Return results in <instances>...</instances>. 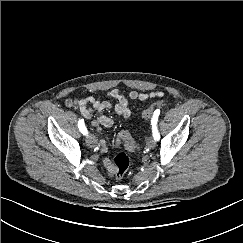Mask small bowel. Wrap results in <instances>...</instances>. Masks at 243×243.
<instances>
[{
	"label": "small bowel",
	"instance_id": "1",
	"mask_svg": "<svg viewBox=\"0 0 243 243\" xmlns=\"http://www.w3.org/2000/svg\"><path fill=\"white\" fill-rule=\"evenodd\" d=\"M107 95L117 101L115 105L106 100H99L92 96L80 99L77 102V106L86 119H92V126H94L99 135L101 136V127H111L114 125L113 118L103 115L104 110H113L118 116L125 119L129 118L131 111L129 108L130 100L145 101L154 98H159L163 96L161 91H149V92H139L131 91L128 94L123 93L119 89L110 90ZM100 152L103 155L102 162L106 168L109 176L114 175V167L112 161L104 157V154L108 151V146L103 138H100Z\"/></svg>",
	"mask_w": 243,
	"mask_h": 243
}]
</instances>
